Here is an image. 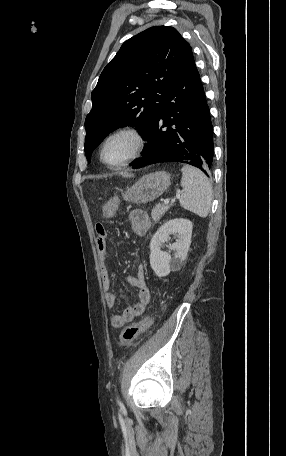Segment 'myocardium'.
Returning <instances> with one entry per match:
<instances>
[{
	"label": "myocardium",
	"mask_w": 286,
	"mask_h": 456,
	"mask_svg": "<svg viewBox=\"0 0 286 456\" xmlns=\"http://www.w3.org/2000/svg\"><path fill=\"white\" fill-rule=\"evenodd\" d=\"M123 133L130 134L136 139V141H137L136 150L131 157H129L122 163L110 164V163L106 162V160L104 159V150H105L106 144L114 136L123 134ZM146 147H147V138H146L144 132L140 128H138L136 126H131V125L123 126V127H120L118 129L114 130L113 132H111L104 139L102 146H101V150H100V159L107 167L112 168V169H119V168L129 165L130 163L135 161L137 158H139L142 155V153L144 152V150L146 149Z\"/></svg>",
	"instance_id": "obj_1"
}]
</instances>
